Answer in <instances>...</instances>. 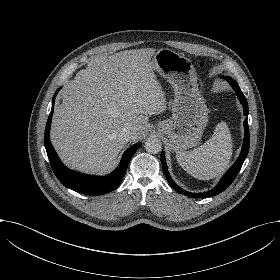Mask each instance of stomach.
<instances>
[{"label": "stomach", "instance_id": "stomach-1", "mask_svg": "<svg viewBox=\"0 0 280 280\" xmlns=\"http://www.w3.org/2000/svg\"><path fill=\"white\" fill-rule=\"evenodd\" d=\"M153 71L166 79L174 89L172 117L161 121L157 128L175 152L196 146L209 121V110L201 95L197 76L190 60L163 48L152 58Z\"/></svg>", "mask_w": 280, "mask_h": 280}]
</instances>
